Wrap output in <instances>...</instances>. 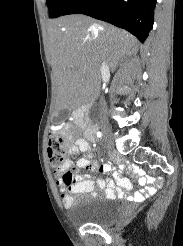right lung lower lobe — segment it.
Here are the masks:
<instances>
[{
    "label": "right lung lower lobe",
    "instance_id": "obj_1",
    "mask_svg": "<svg viewBox=\"0 0 183 246\" xmlns=\"http://www.w3.org/2000/svg\"><path fill=\"white\" fill-rule=\"evenodd\" d=\"M155 5L156 0H75L63 15L84 14L109 22L143 43L153 27Z\"/></svg>",
    "mask_w": 183,
    "mask_h": 246
}]
</instances>
